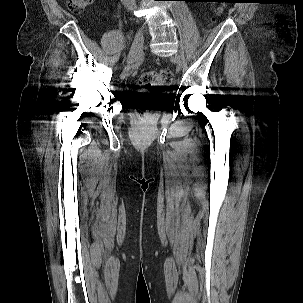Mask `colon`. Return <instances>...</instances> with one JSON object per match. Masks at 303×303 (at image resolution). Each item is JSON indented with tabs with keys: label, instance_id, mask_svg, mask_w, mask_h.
I'll list each match as a JSON object with an SVG mask.
<instances>
[{
	"label": "colon",
	"instance_id": "obj_1",
	"mask_svg": "<svg viewBox=\"0 0 303 303\" xmlns=\"http://www.w3.org/2000/svg\"><path fill=\"white\" fill-rule=\"evenodd\" d=\"M91 0H67L68 7L71 11L79 12L85 9ZM224 10L223 6L218 7L217 15ZM173 76L168 69L158 71H149L144 73L140 78V86L142 88H166L172 84ZM144 102L146 106H153L161 103L165 98L164 95L144 94Z\"/></svg>",
	"mask_w": 303,
	"mask_h": 303
}]
</instances>
